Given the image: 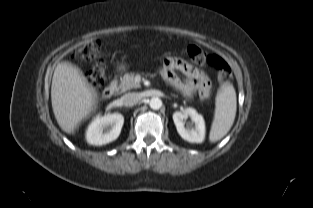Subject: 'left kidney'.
Wrapping results in <instances>:
<instances>
[{
  "mask_svg": "<svg viewBox=\"0 0 313 208\" xmlns=\"http://www.w3.org/2000/svg\"><path fill=\"white\" fill-rule=\"evenodd\" d=\"M190 117L194 126L189 124L185 127L187 118ZM173 121L179 135L191 143H202L205 138V123L202 115L194 108H186L183 112H175Z\"/></svg>",
  "mask_w": 313,
  "mask_h": 208,
  "instance_id": "5707ae66",
  "label": "left kidney"
}]
</instances>
